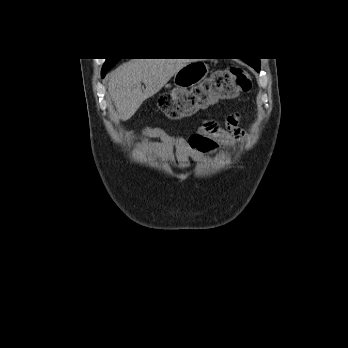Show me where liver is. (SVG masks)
I'll list each match as a JSON object with an SVG mask.
<instances>
[{
    "label": "liver",
    "mask_w": 348,
    "mask_h": 348,
    "mask_svg": "<svg viewBox=\"0 0 348 348\" xmlns=\"http://www.w3.org/2000/svg\"><path fill=\"white\" fill-rule=\"evenodd\" d=\"M190 61L131 59L109 74L108 91L122 120L130 119L144 100L156 94ZM141 83L145 89L142 90Z\"/></svg>",
    "instance_id": "obj_1"
}]
</instances>
